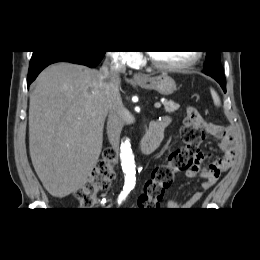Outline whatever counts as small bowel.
Here are the masks:
<instances>
[{"label":"small bowel","mask_w":260,"mask_h":260,"mask_svg":"<svg viewBox=\"0 0 260 260\" xmlns=\"http://www.w3.org/2000/svg\"><path fill=\"white\" fill-rule=\"evenodd\" d=\"M161 120H163L166 125H169L171 121L167 116ZM196 124L205 134L220 140V149L223 152V156L212 158L210 153L204 151H200L196 155L192 167L186 170L185 175L188 178H201L204 181L201 183L199 189L192 193L185 201L179 202L176 199L168 200L166 206L170 210H188L192 208L203 197L205 192L216 184L221 174L231 167L236 158L237 135L232 127L207 122L198 112ZM207 161H209V163H207ZM138 206L143 209L155 207V205H152L151 201L143 195L138 199Z\"/></svg>","instance_id":"obj_1"}]
</instances>
